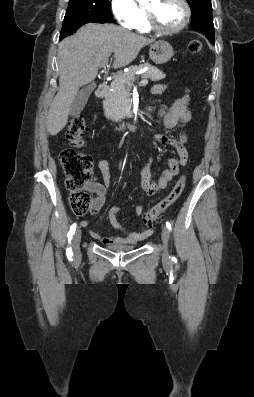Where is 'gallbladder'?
Instances as JSON below:
<instances>
[{"instance_id": "1", "label": "gallbladder", "mask_w": 254, "mask_h": 397, "mask_svg": "<svg viewBox=\"0 0 254 397\" xmlns=\"http://www.w3.org/2000/svg\"><path fill=\"white\" fill-rule=\"evenodd\" d=\"M96 85L94 83H91L82 89H80L75 96L71 108H70V115L71 116H76L78 115L86 105L88 98L92 91L95 89Z\"/></svg>"}]
</instances>
